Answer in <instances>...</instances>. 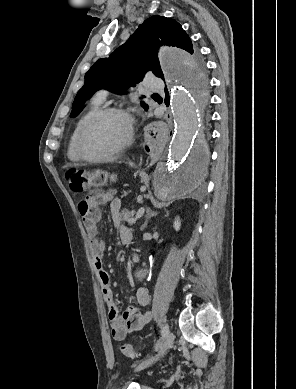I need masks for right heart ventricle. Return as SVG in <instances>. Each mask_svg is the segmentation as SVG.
<instances>
[{"label": "right heart ventricle", "mask_w": 296, "mask_h": 389, "mask_svg": "<svg viewBox=\"0 0 296 389\" xmlns=\"http://www.w3.org/2000/svg\"><path fill=\"white\" fill-rule=\"evenodd\" d=\"M102 102H103V100H101L97 97L92 99L88 110L77 121V123L74 127V130L72 132V135L70 137V140L68 143V149H67V156L71 161L77 162V161L81 160V157L79 156L78 151H77V137H78L79 130H80L81 126L84 124V122L92 114H94L96 111H98L100 109Z\"/></svg>", "instance_id": "1"}]
</instances>
